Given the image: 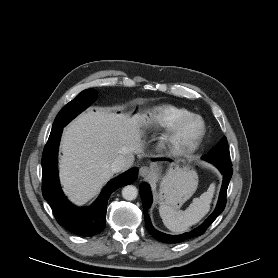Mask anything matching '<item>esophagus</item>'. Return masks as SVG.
<instances>
[{
  "label": "esophagus",
  "mask_w": 278,
  "mask_h": 278,
  "mask_svg": "<svg viewBox=\"0 0 278 278\" xmlns=\"http://www.w3.org/2000/svg\"><path fill=\"white\" fill-rule=\"evenodd\" d=\"M139 175L143 178H149L152 175V170L148 166H141L139 169Z\"/></svg>",
  "instance_id": "34e87169"
}]
</instances>
